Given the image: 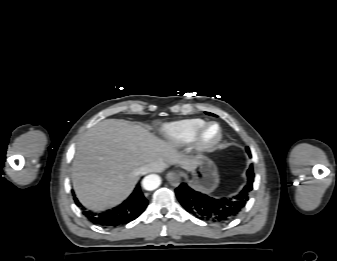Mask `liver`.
<instances>
[{
  "label": "liver",
  "mask_w": 337,
  "mask_h": 261,
  "mask_svg": "<svg viewBox=\"0 0 337 261\" xmlns=\"http://www.w3.org/2000/svg\"><path fill=\"white\" fill-rule=\"evenodd\" d=\"M161 162L192 171L198 159H180L172 144L139 125L106 119L89 129L77 144L73 188L85 207L103 210L118 205L132 192L141 167Z\"/></svg>",
  "instance_id": "1"
}]
</instances>
